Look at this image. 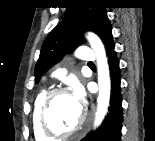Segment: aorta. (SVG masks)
<instances>
[{
  "label": "aorta",
  "mask_w": 155,
  "mask_h": 141,
  "mask_svg": "<svg viewBox=\"0 0 155 141\" xmlns=\"http://www.w3.org/2000/svg\"><path fill=\"white\" fill-rule=\"evenodd\" d=\"M87 39L96 54L98 65L99 95L97 99L98 105L94 121V126L98 127L102 123L107 113L110 102V91H111L110 72L106 51L99 37L94 33H88Z\"/></svg>",
  "instance_id": "762f6f07"
}]
</instances>
